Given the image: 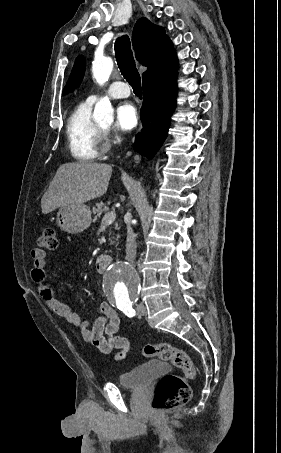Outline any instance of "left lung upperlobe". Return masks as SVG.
<instances>
[{"label":"left lung upper lobe","mask_w":281,"mask_h":453,"mask_svg":"<svg viewBox=\"0 0 281 453\" xmlns=\"http://www.w3.org/2000/svg\"><path fill=\"white\" fill-rule=\"evenodd\" d=\"M85 70V61L83 57H78L74 63L72 73L67 85L64 87L63 94L75 89L82 81Z\"/></svg>","instance_id":"5c2ea615"}]
</instances>
